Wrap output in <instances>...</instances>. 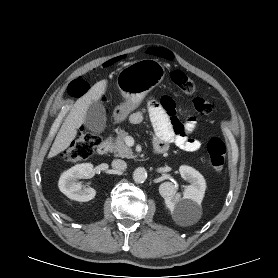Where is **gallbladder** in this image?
Listing matches in <instances>:
<instances>
[{
	"label": "gallbladder",
	"instance_id": "obj_1",
	"mask_svg": "<svg viewBox=\"0 0 278 278\" xmlns=\"http://www.w3.org/2000/svg\"><path fill=\"white\" fill-rule=\"evenodd\" d=\"M86 129L93 134H100L106 127V114L104 107L96 101H92L84 121Z\"/></svg>",
	"mask_w": 278,
	"mask_h": 278
}]
</instances>
